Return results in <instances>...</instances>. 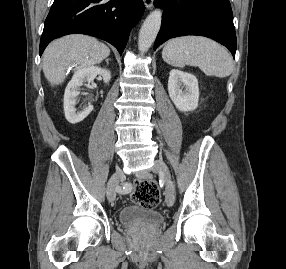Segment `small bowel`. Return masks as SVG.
I'll return each mask as SVG.
<instances>
[{
    "mask_svg": "<svg viewBox=\"0 0 286 269\" xmlns=\"http://www.w3.org/2000/svg\"><path fill=\"white\" fill-rule=\"evenodd\" d=\"M125 190H126L125 192H128L129 191V187H126Z\"/></svg>",
    "mask_w": 286,
    "mask_h": 269,
    "instance_id": "obj_1",
    "label": "small bowel"
}]
</instances>
